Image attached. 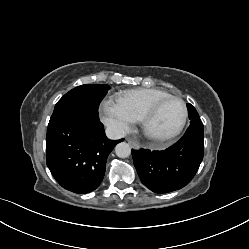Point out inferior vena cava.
Segmentation results:
<instances>
[{
  "instance_id": "inferior-vena-cava-1",
  "label": "inferior vena cava",
  "mask_w": 249,
  "mask_h": 249,
  "mask_svg": "<svg viewBox=\"0 0 249 249\" xmlns=\"http://www.w3.org/2000/svg\"><path fill=\"white\" fill-rule=\"evenodd\" d=\"M105 132L106 136L112 140L121 139L126 135V132L117 125H108Z\"/></svg>"
}]
</instances>
